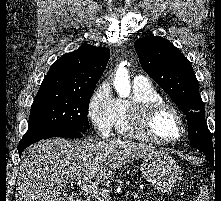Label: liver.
<instances>
[{"label": "liver", "instance_id": "liver-1", "mask_svg": "<svg viewBox=\"0 0 221 201\" xmlns=\"http://www.w3.org/2000/svg\"><path fill=\"white\" fill-rule=\"evenodd\" d=\"M157 151L127 140L40 141L22 153L15 201H71L66 191L70 181L94 179L96 184H109L113 169Z\"/></svg>", "mask_w": 221, "mask_h": 201}]
</instances>
